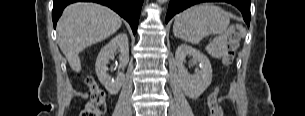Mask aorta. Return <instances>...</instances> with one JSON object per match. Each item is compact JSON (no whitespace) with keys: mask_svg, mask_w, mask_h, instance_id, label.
Wrapping results in <instances>:
<instances>
[{"mask_svg":"<svg viewBox=\"0 0 305 116\" xmlns=\"http://www.w3.org/2000/svg\"><path fill=\"white\" fill-rule=\"evenodd\" d=\"M158 2H159L160 4H163L164 2H166V0H158Z\"/></svg>","mask_w":305,"mask_h":116,"instance_id":"1","label":"aorta"}]
</instances>
